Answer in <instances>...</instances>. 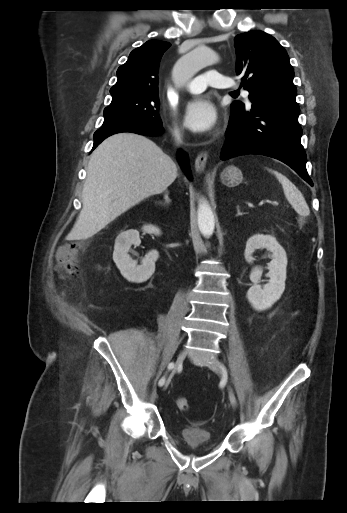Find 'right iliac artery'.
I'll return each instance as SVG.
<instances>
[{"instance_id":"1","label":"right iliac artery","mask_w":347,"mask_h":513,"mask_svg":"<svg viewBox=\"0 0 347 513\" xmlns=\"http://www.w3.org/2000/svg\"><path fill=\"white\" fill-rule=\"evenodd\" d=\"M173 368H174V363H173V362L169 363V364H168V370H172ZM164 383H165V377H162V378L159 380V383H158V384H159V386H162V385H164Z\"/></svg>"}]
</instances>
